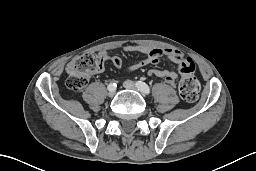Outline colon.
<instances>
[{
    "instance_id": "5ec220e1",
    "label": "colon",
    "mask_w": 256,
    "mask_h": 171,
    "mask_svg": "<svg viewBox=\"0 0 256 171\" xmlns=\"http://www.w3.org/2000/svg\"><path fill=\"white\" fill-rule=\"evenodd\" d=\"M103 61L96 53H86L73 59L67 66V88L73 92H80L91 74L98 71ZM182 79L179 83V94L186 102H194L199 95V82L194 75L195 64L191 58L186 57L180 61Z\"/></svg>"
}]
</instances>
